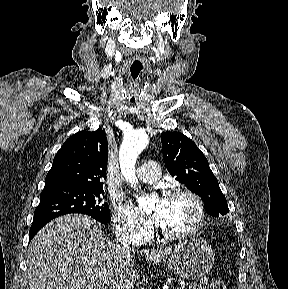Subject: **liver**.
<instances>
[{
    "label": "liver",
    "mask_w": 288,
    "mask_h": 289,
    "mask_svg": "<svg viewBox=\"0 0 288 289\" xmlns=\"http://www.w3.org/2000/svg\"><path fill=\"white\" fill-rule=\"evenodd\" d=\"M173 247L144 251L157 264ZM133 250L121 252L101 225L82 214L55 218L31 240L27 256L30 289H133Z\"/></svg>",
    "instance_id": "1"
}]
</instances>
